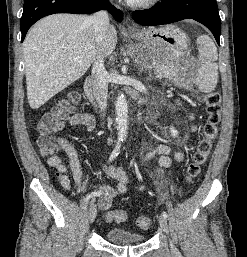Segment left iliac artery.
<instances>
[{
	"label": "left iliac artery",
	"mask_w": 247,
	"mask_h": 257,
	"mask_svg": "<svg viewBox=\"0 0 247 257\" xmlns=\"http://www.w3.org/2000/svg\"><path fill=\"white\" fill-rule=\"evenodd\" d=\"M162 217H164V218H168V215H167V213L166 212H162Z\"/></svg>",
	"instance_id": "44dca946"
}]
</instances>
